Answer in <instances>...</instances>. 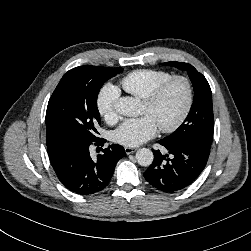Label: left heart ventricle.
<instances>
[{"label": "left heart ventricle", "instance_id": "left-heart-ventricle-1", "mask_svg": "<svg viewBox=\"0 0 251 251\" xmlns=\"http://www.w3.org/2000/svg\"><path fill=\"white\" fill-rule=\"evenodd\" d=\"M186 99V91L182 83H174L162 96L160 101L149 108L143 105V114L151 116L159 125H168L174 122L181 113Z\"/></svg>", "mask_w": 251, "mask_h": 251}]
</instances>
